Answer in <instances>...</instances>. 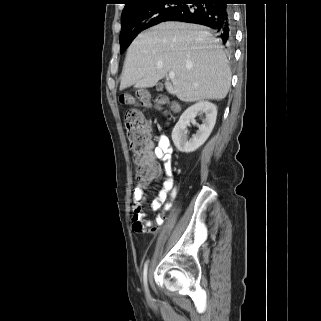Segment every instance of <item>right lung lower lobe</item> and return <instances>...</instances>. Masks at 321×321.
Returning <instances> with one entry per match:
<instances>
[{"mask_svg": "<svg viewBox=\"0 0 321 321\" xmlns=\"http://www.w3.org/2000/svg\"><path fill=\"white\" fill-rule=\"evenodd\" d=\"M232 0H184L182 5L167 15L164 21H181L213 28L224 43L233 41Z\"/></svg>", "mask_w": 321, "mask_h": 321, "instance_id": "right-lung-lower-lobe-1", "label": "right lung lower lobe"}]
</instances>
